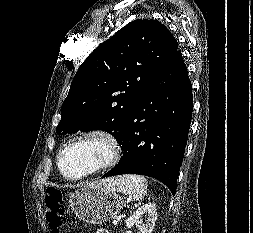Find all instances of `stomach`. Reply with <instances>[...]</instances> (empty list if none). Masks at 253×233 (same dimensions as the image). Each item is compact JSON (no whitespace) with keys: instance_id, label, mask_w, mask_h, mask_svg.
Returning a JSON list of instances; mask_svg holds the SVG:
<instances>
[{"instance_id":"1","label":"stomach","mask_w":253,"mask_h":233,"mask_svg":"<svg viewBox=\"0 0 253 233\" xmlns=\"http://www.w3.org/2000/svg\"><path fill=\"white\" fill-rule=\"evenodd\" d=\"M69 203L74 214L89 224L104 223L125 206L121 196L99 183L79 188L71 194Z\"/></svg>"}]
</instances>
